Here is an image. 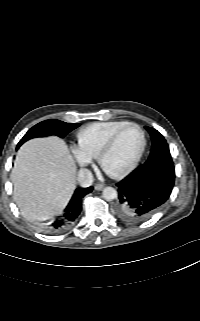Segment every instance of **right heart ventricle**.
I'll list each match as a JSON object with an SVG mask.
<instances>
[{"instance_id": "e07e8e85", "label": "right heart ventricle", "mask_w": 200, "mask_h": 321, "mask_svg": "<svg viewBox=\"0 0 200 321\" xmlns=\"http://www.w3.org/2000/svg\"><path fill=\"white\" fill-rule=\"evenodd\" d=\"M129 123L125 120H112L91 123L77 133L78 146L80 149L91 156L97 157L100 149L109 137L120 127Z\"/></svg>"}]
</instances>
